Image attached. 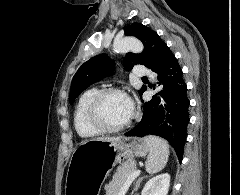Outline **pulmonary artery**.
Wrapping results in <instances>:
<instances>
[{"instance_id": "obj_1", "label": "pulmonary artery", "mask_w": 240, "mask_h": 195, "mask_svg": "<svg viewBox=\"0 0 240 195\" xmlns=\"http://www.w3.org/2000/svg\"><path fill=\"white\" fill-rule=\"evenodd\" d=\"M134 76H149V69L143 65H136L135 70L133 72Z\"/></svg>"}]
</instances>
